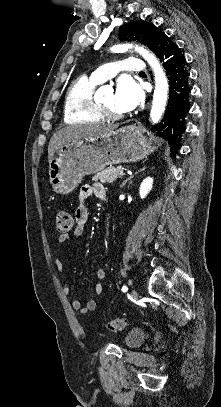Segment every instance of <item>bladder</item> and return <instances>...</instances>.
<instances>
[{
    "label": "bladder",
    "instance_id": "bladder-1",
    "mask_svg": "<svg viewBox=\"0 0 221 407\" xmlns=\"http://www.w3.org/2000/svg\"><path fill=\"white\" fill-rule=\"evenodd\" d=\"M145 340V331L142 328L130 329L124 335V343L129 348H137L142 345Z\"/></svg>",
    "mask_w": 221,
    "mask_h": 407
}]
</instances>
